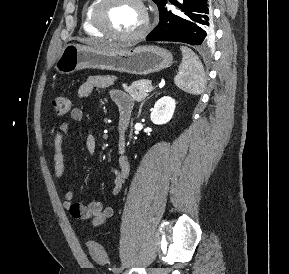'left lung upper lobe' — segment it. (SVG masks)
Instances as JSON below:
<instances>
[{"instance_id": "left-lung-upper-lobe-1", "label": "left lung upper lobe", "mask_w": 289, "mask_h": 274, "mask_svg": "<svg viewBox=\"0 0 289 274\" xmlns=\"http://www.w3.org/2000/svg\"><path fill=\"white\" fill-rule=\"evenodd\" d=\"M153 1L157 4L158 8L160 9L163 6V3L166 2L167 0H153Z\"/></svg>"}]
</instances>
